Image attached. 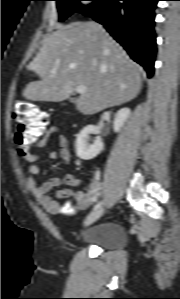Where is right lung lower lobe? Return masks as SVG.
Returning a JSON list of instances; mask_svg holds the SVG:
<instances>
[{"instance_id": "98d812e1", "label": "right lung lower lobe", "mask_w": 180, "mask_h": 299, "mask_svg": "<svg viewBox=\"0 0 180 299\" xmlns=\"http://www.w3.org/2000/svg\"><path fill=\"white\" fill-rule=\"evenodd\" d=\"M159 0H103L84 13L104 25L148 77L154 72L156 54L154 9Z\"/></svg>"}]
</instances>
